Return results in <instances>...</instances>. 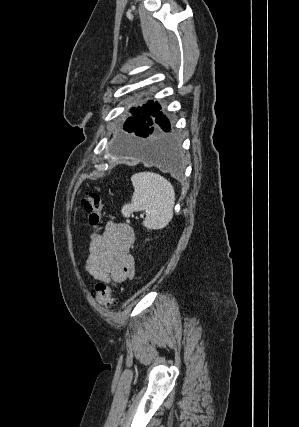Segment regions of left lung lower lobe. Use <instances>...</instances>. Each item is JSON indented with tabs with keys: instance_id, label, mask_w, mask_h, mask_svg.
Segmentation results:
<instances>
[{
	"instance_id": "0a47b994",
	"label": "left lung lower lobe",
	"mask_w": 299,
	"mask_h": 427,
	"mask_svg": "<svg viewBox=\"0 0 299 427\" xmlns=\"http://www.w3.org/2000/svg\"><path fill=\"white\" fill-rule=\"evenodd\" d=\"M143 138L146 139L137 148L141 158L170 170L181 169L179 143L171 134L169 120L160 110L154 118L153 126Z\"/></svg>"
}]
</instances>
